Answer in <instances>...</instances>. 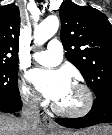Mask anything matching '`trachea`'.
Returning <instances> with one entry per match:
<instances>
[{
  "mask_svg": "<svg viewBox=\"0 0 112 135\" xmlns=\"http://www.w3.org/2000/svg\"><path fill=\"white\" fill-rule=\"evenodd\" d=\"M38 2H39V3H41V2H42V0H39Z\"/></svg>",
  "mask_w": 112,
  "mask_h": 135,
  "instance_id": "obj_1",
  "label": "trachea"
}]
</instances>
